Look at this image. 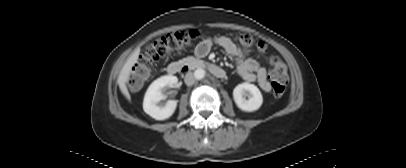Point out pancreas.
I'll return each mask as SVG.
<instances>
[{"instance_id":"obj_1","label":"pancreas","mask_w":406,"mask_h":168,"mask_svg":"<svg viewBox=\"0 0 406 168\" xmlns=\"http://www.w3.org/2000/svg\"><path fill=\"white\" fill-rule=\"evenodd\" d=\"M182 62L189 65L191 68L196 67L197 65H199L202 61L199 59H196L194 57H186L184 59H182Z\"/></svg>"}]
</instances>
